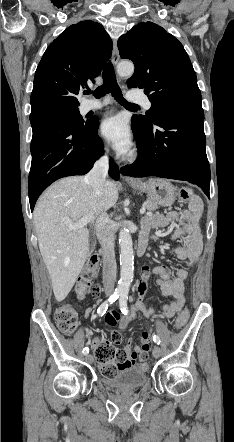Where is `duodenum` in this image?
Instances as JSON below:
<instances>
[{"label":"duodenum","instance_id":"1","mask_svg":"<svg viewBox=\"0 0 234 442\" xmlns=\"http://www.w3.org/2000/svg\"><path fill=\"white\" fill-rule=\"evenodd\" d=\"M147 247H148V240L145 236H143L137 244V254L139 256L143 255L146 252Z\"/></svg>","mask_w":234,"mask_h":442}]
</instances>
